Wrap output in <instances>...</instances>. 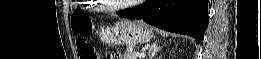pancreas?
<instances>
[{
  "label": "pancreas",
  "mask_w": 261,
  "mask_h": 59,
  "mask_svg": "<svg viewBox=\"0 0 261 59\" xmlns=\"http://www.w3.org/2000/svg\"><path fill=\"white\" fill-rule=\"evenodd\" d=\"M135 53L136 51L134 46H128L124 53V59H142L140 57H137Z\"/></svg>",
  "instance_id": "pancreas-1"
}]
</instances>
